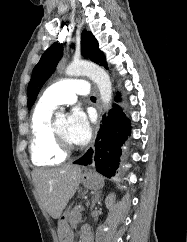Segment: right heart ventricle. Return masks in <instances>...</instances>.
<instances>
[{"label":"right heart ventricle","mask_w":187,"mask_h":242,"mask_svg":"<svg viewBox=\"0 0 187 242\" xmlns=\"http://www.w3.org/2000/svg\"><path fill=\"white\" fill-rule=\"evenodd\" d=\"M54 107L38 102L33 110L30 127V154L37 166L62 163L66 156L54 146L51 134V118Z\"/></svg>","instance_id":"e07e8e85"}]
</instances>
